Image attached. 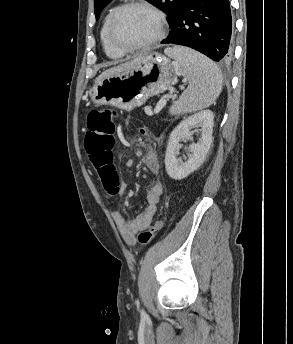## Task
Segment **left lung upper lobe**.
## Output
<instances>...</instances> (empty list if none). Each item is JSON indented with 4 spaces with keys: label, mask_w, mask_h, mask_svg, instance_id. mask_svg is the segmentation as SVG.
<instances>
[{
    "label": "left lung upper lobe",
    "mask_w": 293,
    "mask_h": 344,
    "mask_svg": "<svg viewBox=\"0 0 293 344\" xmlns=\"http://www.w3.org/2000/svg\"><path fill=\"white\" fill-rule=\"evenodd\" d=\"M112 0H95L94 1V10L96 19L99 18V15L103 8L109 4ZM152 5L156 6L157 8L163 10L168 15V23L171 27L172 22L175 18L177 13L178 7L180 5L181 0H147Z\"/></svg>",
    "instance_id": "left-lung-upper-lobe-1"
}]
</instances>
